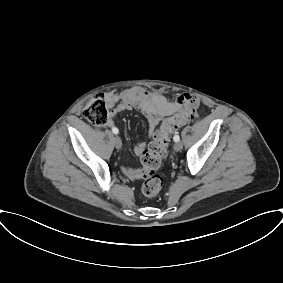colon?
Listing matches in <instances>:
<instances>
[{
  "instance_id": "colon-1",
  "label": "colon",
  "mask_w": 283,
  "mask_h": 283,
  "mask_svg": "<svg viewBox=\"0 0 283 283\" xmlns=\"http://www.w3.org/2000/svg\"><path fill=\"white\" fill-rule=\"evenodd\" d=\"M83 115L93 126H105L109 118L106 100L101 96L90 98L84 106ZM198 116V104L195 101L186 103L179 112L162 123L159 130L155 132L153 141L141 153V177L143 179L141 191L145 197H155L161 190L163 181L156 171L167 155L171 135L186 122Z\"/></svg>"
}]
</instances>
